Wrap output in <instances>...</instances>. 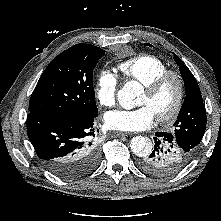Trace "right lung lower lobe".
Wrapping results in <instances>:
<instances>
[{
    "label": "right lung lower lobe",
    "instance_id": "1",
    "mask_svg": "<svg viewBox=\"0 0 221 221\" xmlns=\"http://www.w3.org/2000/svg\"><path fill=\"white\" fill-rule=\"evenodd\" d=\"M92 115L30 112L28 137L43 165L53 174L74 179L88 174L99 161V150L91 142L95 130Z\"/></svg>",
    "mask_w": 221,
    "mask_h": 221
}]
</instances>
